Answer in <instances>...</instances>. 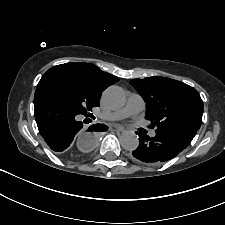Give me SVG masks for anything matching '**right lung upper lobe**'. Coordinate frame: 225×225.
I'll use <instances>...</instances> for the list:
<instances>
[{
	"label": "right lung upper lobe",
	"instance_id": "cb5924a9",
	"mask_svg": "<svg viewBox=\"0 0 225 225\" xmlns=\"http://www.w3.org/2000/svg\"><path fill=\"white\" fill-rule=\"evenodd\" d=\"M49 70L65 72L84 84L98 101V105L101 92L119 80L116 76L103 72L90 63H66L54 66Z\"/></svg>",
	"mask_w": 225,
	"mask_h": 225
}]
</instances>
